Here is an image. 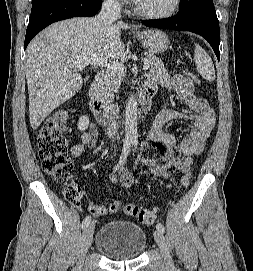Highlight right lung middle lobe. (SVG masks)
<instances>
[{"instance_id": "1", "label": "right lung middle lobe", "mask_w": 253, "mask_h": 271, "mask_svg": "<svg viewBox=\"0 0 253 271\" xmlns=\"http://www.w3.org/2000/svg\"><path fill=\"white\" fill-rule=\"evenodd\" d=\"M57 1H61V0H33V2H32V10H34V9L40 7V6H43V5L52 3V2H57Z\"/></svg>"}]
</instances>
